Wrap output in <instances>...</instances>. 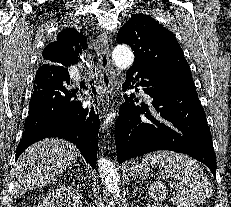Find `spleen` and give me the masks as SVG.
<instances>
[{"instance_id": "spleen-1", "label": "spleen", "mask_w": 231, "mask_h": 207, "mask_svg": "<svg viewBox=\"0 0 231 207\" xmlns=\"http://www.w3.org/2000/svg\"><path fill=\"white\" fill-rule=\"evenodd\" d=\"M143 161L152 167L158 166L168 179L176 182L171 200L177 207L196 206L210 197L209 180L200 165L192 158L164 150L147 154ZM148 192L151 198L163 201L166 198L167 187L157 181L151 184Z\"/></svg>"}]
</instances>
